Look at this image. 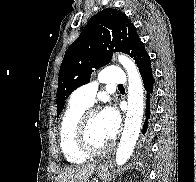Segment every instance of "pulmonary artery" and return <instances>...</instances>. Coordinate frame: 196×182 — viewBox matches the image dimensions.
<instances>
[{
	"label": "pulmonary artery",
	"mask_w": 196,
	"mask_h": 182,
	"mask_svg": "<svg viewBox=\"0 0 196 182\" xmlns=\"http://www.w3.org/2000/svg\"><path fill=\"white\" fill-rule=\"evenodd\" d=\"M99 80L109 85H125L127 81L125 73L117 67L106 68L99 76ZM97 89L98 86L94 82L85 84L73 92L72 100L86 107L91 106Z\"/></svg>",
	"instance_id": "1"
}]
</instances>
